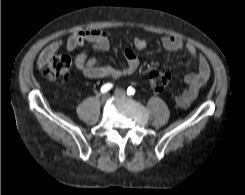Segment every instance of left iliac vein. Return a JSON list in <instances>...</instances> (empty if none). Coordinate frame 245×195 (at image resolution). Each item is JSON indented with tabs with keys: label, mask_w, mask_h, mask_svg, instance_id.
<instances>
[{
	"label": "left iliac vein",
	"mask_w": 245,
	"mask_h": 195,
	"mask_svg": "<svg viewBox=\"0 0 245 195\" xmlns=\"http://www.w3.org/2000/svg\"><path fill=\"white\" fill-rule=\"evenodd\" d=\"M114 93L116 96H119V97L126 96V92L123 89H116Z\"/></svg>",
	"instance_id": "4c4485c4"
}]
</instances>
